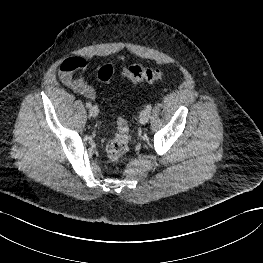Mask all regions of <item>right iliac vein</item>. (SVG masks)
<instances>
[{
    "label": "right iliac vein",
    "mask_w": 263,
    "mask_h": 263,
    "mask_svg": "<svg viewBox=\"0 0 263 263\" xmlns=\"http://www.w3.org/2000/svg\"><path fill=\"white\" fill-rule=\"evenodd\" d=\"M89 113L92 117H96L99 113V109L97 106H93L90 108Z\"/></svg>",
    "instance_id": "right-iliac-vein-1"
}]
</instances>
